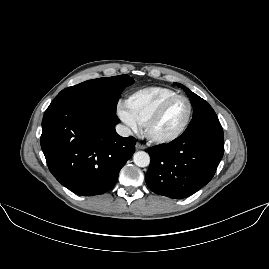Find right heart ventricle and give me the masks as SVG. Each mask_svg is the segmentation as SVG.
Listing matches in <instances>:
<instances>
[{
  "label": "right heart ventricle",
  "mask_w": 269,
  "mask_h": 269,
  "mask_svg": "<svg viewBox=\"0 0 269 269\" xmlns=\"http://www.w3.org/2000/svg\"><path fill=\"white\" fill-rule=\"evenodd\" d=\"M178 93L165 87H150L129 95L127 110L139 126H143L148 116L165 100L177 96Z\"/></svg>",
  "instance_id": "obj_1"
}]
</instances>
